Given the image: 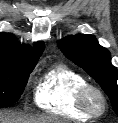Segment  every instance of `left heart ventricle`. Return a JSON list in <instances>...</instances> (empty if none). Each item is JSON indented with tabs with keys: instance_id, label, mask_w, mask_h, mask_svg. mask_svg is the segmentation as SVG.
<instances>
[{
	"instance_id": "left-heart-ventricle-1",
	"label": "left heart ventricle",
	"mask_w": 118,
	"mask_h": 123,
	"mask_svg": "<svg viewBox=\"0 0 118 123\" xmlns=\"http://www.w3.org/2000/svg\"><path fill=\"white\" fill-rule=\"evenodd\" d=\"M92 104L96 109L100 107V100L96 96H92L91 98Z\"/></svg>"
}]
</instances>
